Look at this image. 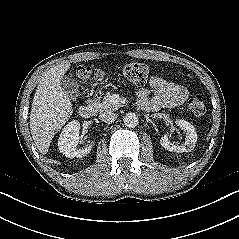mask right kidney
I'll return each instance as SVG.
<instances>
[{"label": "right kidney", "mask_w": 239, "mask_h": 239, "mask_svg": "<svg viewBox=\"0 0 239 239\" xmlns=\"http://www.w3.org/2000/svg\"><path fill=\"white\" fill-rule=\"evenodd\" d=\"M80 123L77 120L69 122L62 130L59 140L58 148L60 152L69 158H80L90 153L93 144L87 145L83 149H78L77 144L79 140Z\"/></svg>", "instance_id": "right-kidney-1"}]
</instances>
